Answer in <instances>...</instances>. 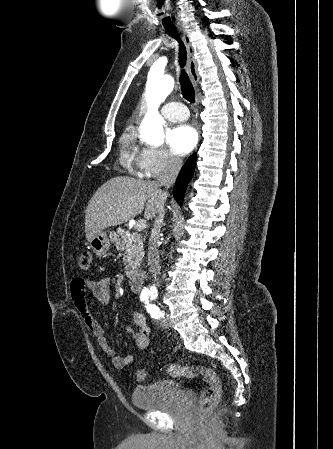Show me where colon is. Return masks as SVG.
<instances>
[{"mask_svg":"<svg viewBox=\"0 0 333 449\" xmlns=\"http://www.w3.org/2000/svg\"><path fill=\"white\" fill-rule=\"evenodd\" d=\"M92 256L88 251H84L78 258V267L87 271L91 267ZM167 373L176 378H195L202 377L207 383L206 388L202 391L200 396V408L206 410L216 404L221 393V384L219 378L214 370L201 365L182 366L178 364H170L167 367ZM147 373L144 369L136 372V379L138 381L145 380Z\"/></svg>","mask_w":333,"mask_h":449,"instance_id":"colon-1","label":"colon"}]
</instances>
